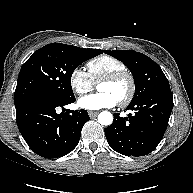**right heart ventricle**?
<instances>
[{
    "instance_id": "right-heart-ventricle-1",
    "label": "right heart ventricle",
    "mask_w": 193,
    "mask_h": 193,
    "mask_svg": "<svg viewBox=\"0 0 193 193\" xmlns=\"http://www.w3.org/2000/svg\"><path fill=\"white\" fill-rule=\"evenodd\" d=\"M88 74L94 83L103 77L120 70H126V65L120 59L110 55H100L88 61Z\"/></svg>"
}]
</instances>
